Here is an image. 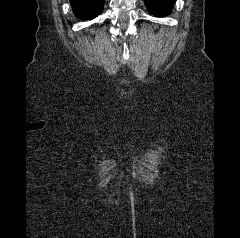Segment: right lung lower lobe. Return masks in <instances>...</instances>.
Masks as SVG:
<instances>
[{
    "label": "right lung lower lobe",
    "instance_id": "obj_1",
    "mask_svg": "<svg viewBox=\"0 0 240 238\" xmlns=\"http://www.w3.org/2000/svg\"><path fill=\"white\" fill-rule=\"evenodd\" d=\"M70 4L78 18L88 20L102 13L104 0H70Z\"/></svg>",
    "mask_w": 240,
    "mask_h": 238
}]
</instances>
